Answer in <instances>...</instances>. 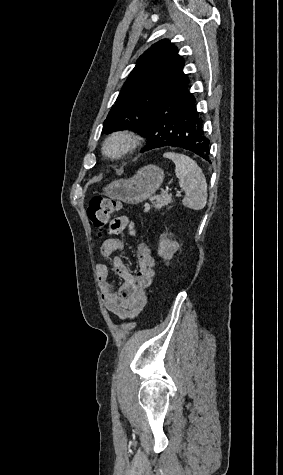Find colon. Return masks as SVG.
Wrapping results in <instances>:
<instances>
[{
    "instance_id": "colon-1",
    "label": "colon",
    "mask_w": 283,
    "mask_h": 475,
    "mask_svg": "<svg viewBox=\"0 0 283 475\" xmlns=\"http://www.w3.org/2000/svg\"><path fill=\"white\" fill-rule=\"evenodd\" d=\"M121 204L112 198L97 196L87 206V216L92 226L99 231L108 227L112 214L119 210ZM155 261L148 246L140 245L138 248L137 270L130 277V283L137 285L148 280L154 275Z\"/></svg>"
}]
</instances>
